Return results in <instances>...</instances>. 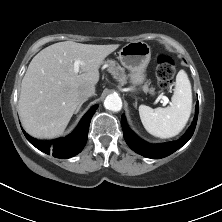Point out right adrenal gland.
<instances>
[{
	"mask_svg": "<svg viewBox=\"0 0 222 222\" xmlns=\"http://www.w3.org/2000/svg\"><path fill=\"white\" fill-rule=\"evenodd\" d=\"M86 101H87V99H83V100L81 101V103L79 104V106H78V108H77V110H76L75 114H77V113L79 112V110H80L81 106H82V105H83V103H84V102H86Z\"/></svg>",
	"mask_w": 222,
	"mask_h": 222,
	"instance_id": "obj_1",
	"label": "right adrenal gland"
}]
</instances>
